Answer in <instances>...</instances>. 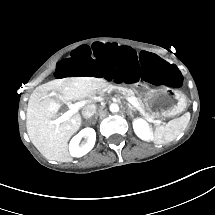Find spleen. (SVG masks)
I'll return each mask as SVG.
<instances>
[{
	"instance_id": "spleen-1",
	"label": "spleen",
	"mask_w": 215,
	"mask_h": 215,
	"mask_svg": "<svg viewBox=\"0 0 215 215\" xmlns=\"http://www.w3.org/2000/svg\"><path fill=\"white\" fill-rule=\"evenodd\" d=\"M189 119L190 115L186 113L180 118L169 121L166 126L157 127L154 131L153 142L155 144H165L175 140Z\"/></svg>"
}]
</instances>
